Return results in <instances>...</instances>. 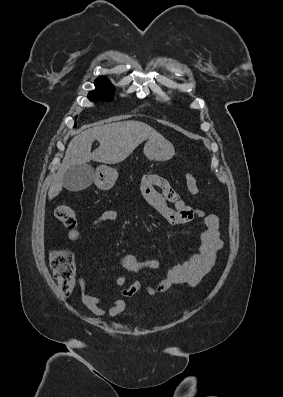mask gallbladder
Wrapping results in <instances>:
<instances>
[{
	"instance_id": "1",
	"label": "gallbladder",
	"mask_w": 283,
	"mask_h": 397,
	"mask_svg": "<svg viewBox=\"0 0 283 397\" xmlns=\"http://www.w3.org/2000/svg\"><path fill=\"white\" fill-rule=\"evenodd\" d=\"M94 180V170L88 164L69 167L63 175V186L72 192L88 188Z\"/></svg>"
}]
</instances>
